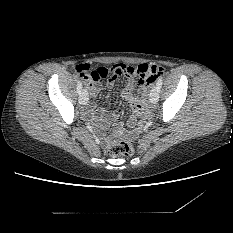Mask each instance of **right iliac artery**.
<instances>
[{
    "mask_svg": "<svg viewBox=\"0 0 233 233\" xmlns=\"http://www.w3.org/2000/svg\"><path fill=\"white\" fill-rule=\"evenodd\" d=\"M81 91H82V83L80 81H78V84H77V93L81 94Z\"/></svg>",
    "mask_w": 233,
    "mask_h": 233,
    "instance_id": "right-iliac-artery-1",
    "label": "right iliac artery"
}]
</instances>
